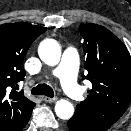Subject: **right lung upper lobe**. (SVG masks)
Returning <instances> with one entry per match:
<instances>
[{"label":"right lung upper lobe","mask_w":131,"mask_h":131,"mask_svg":"<svg viewBox=\"0 0 131 131\" xmlns=\"http://www.w3.org/2000/svg\"><path fill=\"white\" fill-rule=\"evenodd\" d=\"M46 31L29 23L0 25V131H21L35 103L18 90L24 79L23 59L33 41Z\"/></svg>","instance_id":"right-lung-upper-lobe-1"}]
</instances>
